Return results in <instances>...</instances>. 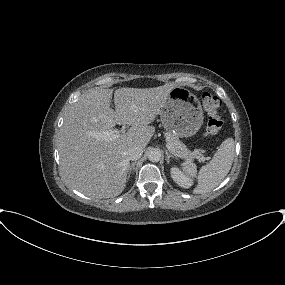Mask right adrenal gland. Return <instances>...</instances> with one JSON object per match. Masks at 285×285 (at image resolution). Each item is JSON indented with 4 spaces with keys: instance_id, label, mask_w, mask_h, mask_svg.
<instances>
[{
    "instance_id": "right-adrenal-gland-1",
    "label": "right adrenal gland",
    "mask_w": 285,
    "mask_h": 285,
    "mask_svg": "<svg viewBox=\"0 0 285 285\" xmlns=\"http://www.w3.org/2000/svg\"><path fill=\"white\" fill-rule=\"evenodd\" d=\"M135 164H136V161L130 164L129 170H128V178L131 175V171L135 169Z\"/></svg>"
}]
</instances>
